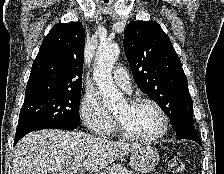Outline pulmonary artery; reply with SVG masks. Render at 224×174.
<instances>
[{
  "label": "pulmonary artery",
  "mask_w": 224,
  "mask_h": 174,
  "mask_svg": "<svg viewBox=\"0 0 224 174\" xmlns=\"http://www.w3.org/2000/svg\"><path fill=\"white\" fill-rule=\"evenodd\" d=\"M113 79L120 88L128 92L131 91V80L123 68H118L114 71Z\"/></svg>",
  "instance_id": "pulmonary-artery-1"
}]
</instances>
